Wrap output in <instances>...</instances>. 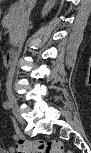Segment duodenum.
<instances>
[{"label": "duodenum", "mask_w": 91, "mask_h": 153, "mask_svg": "<svg viewBox=\"0 0 91 153\" xmlns=\"http://www.w3.org/2000/svg\"><path fill=\"white\" fill-rule=\"evenodd\" d=\"M18 56V51L15 49L8 50L4 55V62L6 65L12 64Z\"/></svg>", "instance_id": "410a0bca"}]
</instances>
